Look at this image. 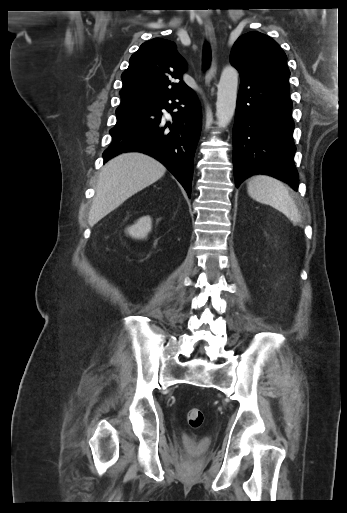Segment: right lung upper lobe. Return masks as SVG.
<instances>
[{
    "instance_id": "cb5924a9",
    "label": "right lung upper lobe",
    "mask_w": 347,
    "mask_h": 513,
    "mask_svg": "<svg viewBox=\"0 0 347 513\" xmlns=\"http://www.w3.org/2000/svg\"><path fill=\"white\" fill-rule=\"evenodd\" d=\"M185 69V61L173 42L154 38L143 43L131 56L129 67L121 76L120 107L128 111L190 90L181 80ZM171 77L180 82L171 83Z\"/></svg>"
}]
</instances>
